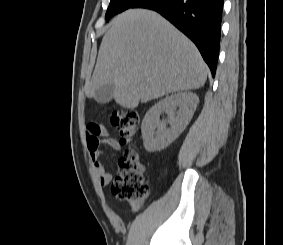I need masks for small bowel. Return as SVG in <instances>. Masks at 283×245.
Instances as JSON below:
<instances>
[{"mask_svg":"<svg viewBox=\"0 0 283 245\" xmlns=\"http://www.w3.org/2000/svg\"><path fill=\"white\" fill-rule=\"evenodd\" d=\"M103 144L108 145L114 150H119L121 146L116 139L109 137L107 127L99 124H89L87 126V148L98 175L99 182L102 186H105L110 183L112 174L105 170L100 160V147Z\"/></svg>","mask_w":283,"mask_h":245,"instance_id":"small-bowel-1","label":"small bowel"}]
</instances>
